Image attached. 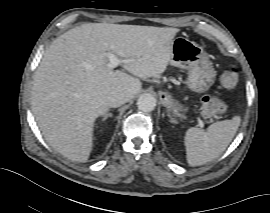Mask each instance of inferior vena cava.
I'll return each instance as SVG.
<instances>
[{
    "label": "inferior vena cava",
    "instance_id": "602c4592",
    "mask_svg": "<svg viewBox=\"0 0 270 213\" xmlns=\"http://www.w3.org/2000/svg\"><path fill=\"white\" fill-rule=\"evenodd\" d=\"M111 107H118L127 102V98L124 92L120 90H114L108 97Z\"/></svg>",
    "mask_w": 270,
    "mask_h": 213
}]
</instances>
